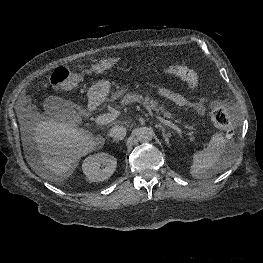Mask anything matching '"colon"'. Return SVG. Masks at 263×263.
Returning <instances> with one entry per match:
<instances>
[{
    "label": "colon",
    "instance_id": "colon-1",
    "mask_svg": "<svg viewBox=\"0 0 263 263\" xmlns=\"http://www.w3.org/2000/svg\"><path fill=\"white\" fill-rule=\"evenodd\" d=\"M120 62L121 59L118 57L104 58L79 73L70 72L65 68H57L52 73L50 81L55 88H71L78 85L85 77L101 74L118 65ZM162 71L165 74L179 77L191 89L198 87L199 81L195 71L180 63L164 66ZM210 118L217 128L224 130L227 134L232 133V120L228 111L223 106L214 104Z\"/></svg>",
    "mask_w": 263,
    "mask_h": 263
}]
</instances>
